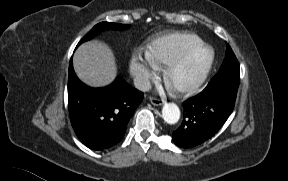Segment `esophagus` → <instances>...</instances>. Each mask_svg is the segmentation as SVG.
Returning a JSON list of instances; mask_svg holds the SVG:
<instances>
[{
  "label": "esophagus",
  "mask_w": 288,
  "mask_h": 181,
  "mask_svg": "<svg viewBox=\"0 0 288 181\" xmlns=\"http://www.w3.org/2000/svg\"><path fill=\"white\" fill-rule=\"evenodd\" d=\"M150 102L155 106H160L164 103V100L156 98V97H151Z\"/></svg>",
  "instance_id": "obj_1"
}]
</instances>
